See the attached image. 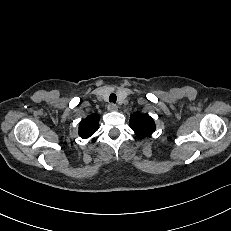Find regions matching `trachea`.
I'll list each match as a JSON object with an SVG mask.
<instances>
[{"label":"trachea","instance_id":"trachea-1","mask_svg":"<svg viewBox=\"0 0 231 231\" xmlns=\"http://www.w3.org/2000/svg\"><path fill=\"white\" fill-rule=\"evenodd\" d=\"M117 100V96L112 93L110 96H109V101L112 102V103H115Z\"/></svg>","mask_w":231,"mask_h":231}]
</instances>
